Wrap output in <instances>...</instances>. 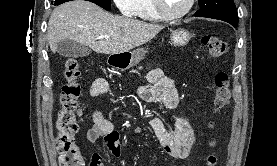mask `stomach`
<instances>
[{
    "instance_id": "stomach-1",
    "label": "stomach",
    "mask_w": 277,
    "mask_h": 166,
    "mask_svg": "<svg viewBox=\"0 0 277 166\" xmlns=\"http://www.w3.org/2000/svg\"><path fill=\"white\" fill-rule=\"evenodd\" d=\"M192 34L185 29H176L171 32L170 40L175 46H184L191 39ZM146 50L138 48L130 52L112 54L109 58V63L113 66L122 69H128L137 65L145 57Z\"/></svg>"
}]
</instances>
